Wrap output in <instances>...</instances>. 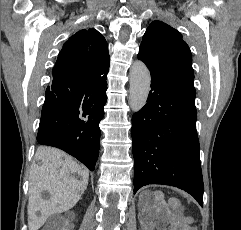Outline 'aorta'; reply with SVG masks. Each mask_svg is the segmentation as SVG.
Segmentation results:
<instances>
[{"mask_svg": "<svg viewBox=\"0 0 241 230\" xmlns=\"http://www.w3.org/2000/svg\"><path fill=\"white\" fill-rule=\"evenodd\" d=\"M129 105L132 111H140L146 104L150 90V72L141 61H135L130 68Z\"/></svg>", "mask_w": 241, "mask_h": 230, "instance_id": "obj_1", "label": "aorta"}]
</instances>
